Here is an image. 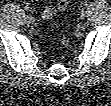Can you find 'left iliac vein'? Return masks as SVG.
<instances>
[{
    "instance_id": "left-iliac-vein-1",
    "label": "left iliac vein",
    "mask_w": 111,
    "mask_h": 106,
    "mask_svg": "<svg viewBox=\"0 0 111 106\" xmlns=\"http://www.w3.org/2000/svg\"><path fill=\"white\" fill-rule=\"evenodd\" d=\"M87 13L85 10H82L81 13H80V18L81 19H84L86 17Z\"/></svg>"
}]
</instances>
